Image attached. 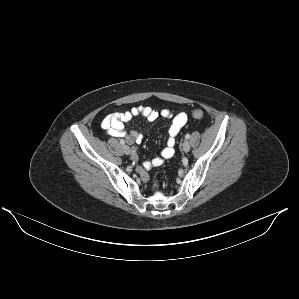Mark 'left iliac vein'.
Wrapping results in <instances>:
<instances>
[{
    "mask_svg": "<svg viewBox=\"0 0 299 299\" xmlns=\"http://www.w3.org/2000/svg\"><path fill=\"white\" fill-rule=\"evenodd\" d=\"M182 150L184 152H188L190 150V143L188 141H184L182 144Z\"/></svg>",
    "mask_w": 299,
    "mask_h": 299,
    "instance_id": "1",
    "label": "left iliac vein"
}]
</instances>
